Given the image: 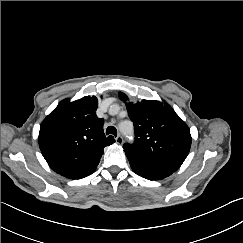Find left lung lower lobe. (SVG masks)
<instances>
[{
	"label": "left lung lower lobe",
	"mask_w": 243,
	"mask_h": 243,
	"mask_svg": "<svg viewBox=\"0 0 243 243\" xmlns=\"http://www.w3.org/2000/svg\"><path fill=\"white\" fill-rule=\"evenodd\" d=\"M132 170L148 180H160L179 169V165L150 160L126 153Z\"/></svg>",
	"instance_id": "1"
}]
</instances>
